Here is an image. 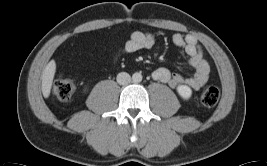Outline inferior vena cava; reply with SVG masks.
Masks as SVG:
<instances>
[{"label": "inferior vena cava", "mask_w": 267, "mask_h": 166, "mask_svg": "<svg viewBox=\"0 0 267 166\" xmlns=\"http://www.w3.org/2000/svg\"><path fill=\"white\" fill-rule=\"evenodd\" d=\"M117 82L120 85H127L131 82V76L126 72H121L117 75Z\"/></svg>", "instance_id": "602c4592"}]
</instances>
